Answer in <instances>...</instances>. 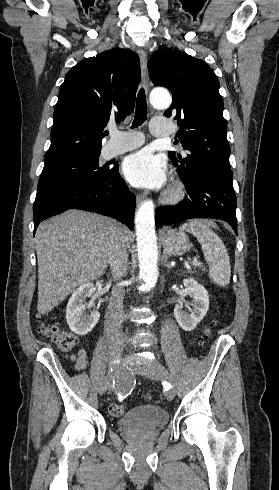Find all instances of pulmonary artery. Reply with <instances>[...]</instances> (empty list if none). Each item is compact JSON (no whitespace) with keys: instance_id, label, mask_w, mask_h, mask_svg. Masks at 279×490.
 <instances>
[{"instance_id":"pulmonary-artery-1","label":"pulmonary artery","mask_w":279,"mask_h":490,"mask_svg":"<svg viewBox=\"0 0 279 490\" xmlns=\"http://www.w3.org/2000/svg\"><path fill=\"white\" fill-rule=\"evenodd\" d=\"M153 128L151 131L156 136H164L168 133L175 131V125L168 122L167 117H154L152 120ZM113 136L112 144L107 145L104 148V155L106 158L116 157L125 152L131 151L142 145L143 139L141 137H120L121 134L125 135L126 131L120 128H113L111 131Z\"/></svg>"}]
</instances>
